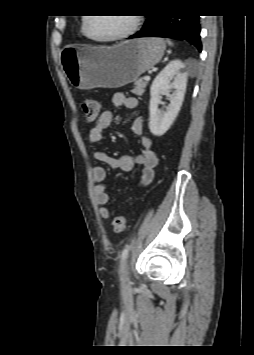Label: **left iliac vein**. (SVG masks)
<instances>
[{"label":"left iliac vein","mask_w":254,"mask_h":355,"mask_svg":"<svg viewBox=\"0 0 254 355\" xmlns=\"http://www.w3.org/2000/svg\"><path fill=\"white\" fill-rule=\"evenodd\" d=\"M122 281L123 283H127L129 281V265L128 261H125L123 268H122Z\"/></svg>","instance_id":"1"}]
</instances>
